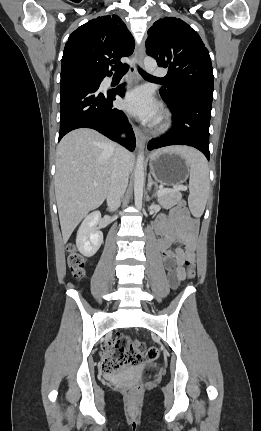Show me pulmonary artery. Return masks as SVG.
I'll return each instance as SVG.
<instances>
[{
  "label": "pulmonary artery",
  "mask_w": 261,
  "mask_h": 431,
  "mask_svg": "<svg viewBox=\"0 0 261 431\" xmlns=\"http://www.w3.org/2000/svg\"><path fill=\"white\" fill-rule=\"evenodd\" d=\"M167 75V71L163 68H157L154 70V76L158 78H163Z\"/></svg>",
  "instance_id": "e3ab8cb5"
}]
</instances>
